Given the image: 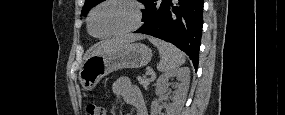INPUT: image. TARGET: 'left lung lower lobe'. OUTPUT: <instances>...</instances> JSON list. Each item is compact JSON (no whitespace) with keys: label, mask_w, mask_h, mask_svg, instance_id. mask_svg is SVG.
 <instances>
[{"label":"left lung lower lobe","mask_w":285,"mask_h":115,"mask_svg":"<svg viewBox=\"0 0 285 115\" xmlns=\"http://www.w3.org/2000/svg\"><path fill=\"white\" fill-rule=\"evenodd\" d=\"M144 24L136 33L163 39L184 51L198 67L203 26L202 0H145Z\"/></svg>","instance_id":"1"}]
</instances>
